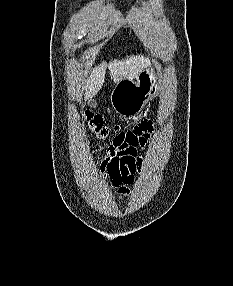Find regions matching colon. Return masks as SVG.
<instances>
[{"instance_id": "5ec220e1", "label": "colon", "mask_w": 233, "mask_h": 286, "mask_svg": "<svg viewBox=\"0 0 233 286\" xmlns=\"http://www.w3.org/2000/svg\"><path fill=\"white\" fill-rule=\"evenodd\" d=\"M85 119L90 129L98 138L106 139L110 137L112 134H117V136L115 137L117 138L118 136L124 134L120 131L119 126L108 125L103 119V117L98 114H94L92 112H86ZM137 128L138 126L135 127L134 131L137 130Z\"/></svg>"}]
</instances>
